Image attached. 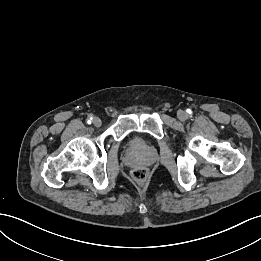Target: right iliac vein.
I'll return each instance as SVG.
<instances>
[{"mask_svg":"<svg viewBox=\"0 0 261 261\" xmlns=\"http://www.w3.org/2000/svg\"><path fill=\"white\" fill-rule=\"evenodd\" d=\"M93 124H94V126L95 127H100L101 126V124H102V121H101V119L100 118H98V117H95L94 119H93Z\"/></svg>","mask_w":261,"mask_h":261,"instance_id":"1","label":"right iliac vein"}]
</instances>
